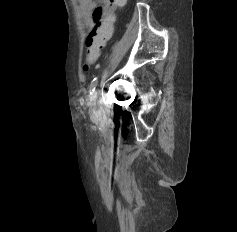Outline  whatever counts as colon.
Wrapping results in <instances>:
<instances>
[{"mask_svg":"<svg viewBox=\"0 0 237 232\" xmlns=\"http://www.w3.org/2000/svg\"><path fill=\"white\" fill-rule=\"evenodd\" d=\"M127 0H115L116 8L122 7ZM115 9L111 10L105 19L97 23L86 38L87 55L84 70L96 62L104 49L107 41L111 38L116 20Z\"/></svg>","mask_w":237,"mask_h":232,"instance_id":"colon-1","label":"colon"}]
</instances>
